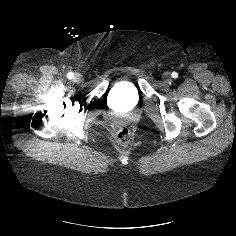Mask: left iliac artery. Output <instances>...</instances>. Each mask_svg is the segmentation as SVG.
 I'll list each match as a JSON object with an SVG mask.
<instances>
[{
	"instance_id": "left-iliac-artery-1",
	"label": "left iliac artery",
	"mask_w": 236,
	"mask_h": 236,
	"mask_svg": "<svg viewBox=\"0 0 236 236\" xmlns=\"http://www.w3.org/2000/svg\"><path fill=\"white\" fill-rule=\"evenodd\" d=\"M171 75H172L173 78H177L178 77V73H176V72H173Z\"/></svg>"
}]
</instances>
